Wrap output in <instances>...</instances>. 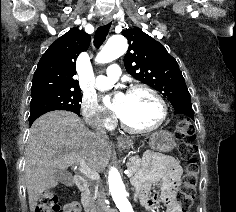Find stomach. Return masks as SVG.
I'll use <instances>...</instances> for the list:
<instances>
[{
	"label": "stomach",
	"mask_w": 236,
	"mask_h": 212,
	"mask_svg": "<svg viewBox=\"0 0 236 212\" xmlns=\"http://www.w3.org/2000/svg\"><path fill=\"white\" fill-rule=\"evenodd\" d=\"M134 139L129 138L125 141L124 147L132 148ZM175 139L173 135L166 130L154 132L149 137V147L158 152H170L175 147Z\"/></svg>",
	"instance_id": "obj_1"
}]
</instances>
